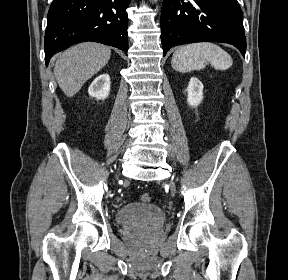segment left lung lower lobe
Wrapping results in <instances>:
<instances>
[{
  "instance_id": "obj_1",
  "label": "left lung lower lobe",
  "mask_w": 288,
  "mask_h": 280,
  "mask_svg": "<svg viewBox=\"0 0 288 280\" xmlns=\"http://www.w3.org/2000/svg\"><path fill=\"white\" fill-rule=\"evenodd\" d=\"M234 45L245 57L243 15L237 0H163V56L174 46L194 42Z\"/></svg>"
}]
</instances>
